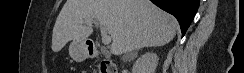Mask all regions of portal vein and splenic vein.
Segmentation results:
<instances>
[{
    "label": "portal vein and splenic vein",
    "instance_id": "18ae733b",
    "mask_svg": "<svg viewBox=\"0 0 244 73\" xmlns=\"http://www.w3.org/2000/svg\"><path fill=\"white\" fill-rule=\"evenodd\" d=\"M86 24L88 25H92V23H94V20L92 19H88L85 21ZM100 30H101V36H102V42L104 45H109L111 42V37L108 35L107 30L105 29V27L100 25Z\"/></svg>",
    "mask_w": 244,
    "mask_h": 73
}]
</instances>
